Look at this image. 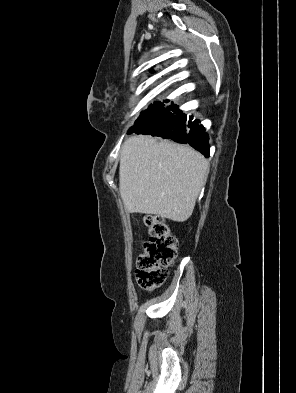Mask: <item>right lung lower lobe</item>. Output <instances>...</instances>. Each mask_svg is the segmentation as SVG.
Wrapping results in <instances>:
<instances>
[{
    "instance_id": "1",
    "label": "right lung lower lobe",
    "mask_w": 296,
    "mask_h": 393,
    "mask_svg": "<svg viewBox=\"0 0 296 393\" xmlns=\"http://www.w3.org/2000/svg\"><path fill=\"white\" fill-rule=\"evenodd\" d=\"M130 133L149 134L171 139L178 143H188L205 157H209V137L204 127L199 125V120L188 121L187 116L178 110L177 105L173 103L167 108L162 102L150 105L129 129L128 134Z\"/></svg>"
}]
</instances>
